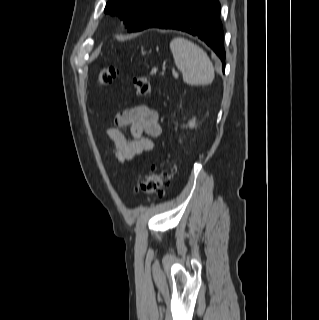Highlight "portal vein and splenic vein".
<instances>
[{
    "instance_id": "portal-vein-and-splenic-vein-1",
    "label": "portal vein and splenic vein",
    "mask_w": 319,
    "mask_h": 320,
    "mask_svg": "<svg viewBox=\"0 0 319 320\" xmlns=\"http://www.w3.org/2000/svg\"><path fill=\"white\" fill-rule=\"evenodd\" d=\"M174 77H175V78H177V77H178V74H177V73H175V74H174Z\"/></svg>"
}]
</instances>
